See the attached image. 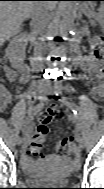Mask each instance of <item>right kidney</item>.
Masks as SVG:
<instances>
[{"label": "right kidney", "mask_w": 104, "mask_h": 189, "mask_svg": "<svg viewBox=\"0 0 104 189\" xmlns=\"http://www.w3.org/2000/svg\"><path fill=\"white\" fill-rule=\"evenodd\" d=\"M28 36L26 33H20L15 36L6 49V57L13 67H19L25 60V50Z\"/></svg>", "instance_id": "1"}]
</instances>
